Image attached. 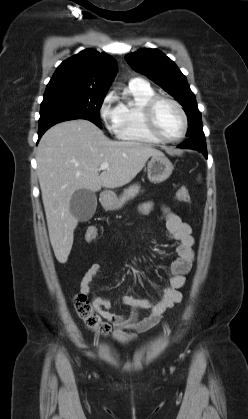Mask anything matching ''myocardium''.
Masks as SVG:
<instances>
[{"mask_svg":"<svg viewBox=\"0 0 248 419\" xmlns=\"http://www.w3.org/2000/svg\"><path fill=\"white\" fill-rule=\"evenodd\" d=\"M168 102L170 104H172L179 112L181 118H182V131L181 133L174 137V138H166L164 136H162L156 128V124H155V119H154V112H155V108L156 106L162 102ZM142 119H143V124L145 127V130L147 131V133L154 138L155 140H157L158 142L161 143H175L178 142L180 140H182L188 130V118L187 115L183 109V107L181 106V104L179 102H177L176 100H174L173 98H170L168 96H162V95H155L152 98H150L143 106L142 109Z\"/></svg>","mask_w":248,"mask_h":419,"instance_id":"obj_1","label":"myocardium"}]
</instances>
